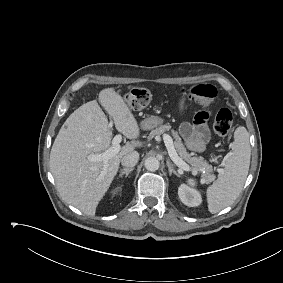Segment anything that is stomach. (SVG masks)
Segmentation results:
<instances>
[{"label": "stomach", "mask_w": 283, "mask_h": 283, "mask_svg": "<svg viewBox=\"0 0 283 283\" xmlns=\"http://www.w3.org/2000/svg\"><path fill=\"white\" fill-rule=\"evenodd\" d=\"M163 122L164 120L159 116H150L141 122V128L143 130H151L160 127Z\"/></svg>", "instance_id": "stomach-1"}]
</instances>
